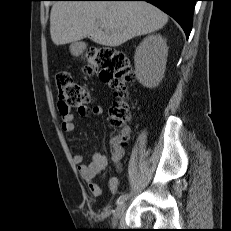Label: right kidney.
I'll return each mask as SVG.
<instances>
[{
	"instance_id": "right-kidney-1",
	"label": "right kidney",
	"mask_w": 231,
	"mask_h": 231,
	"mask_svg": "<svg viewBox=\"0 0 231 231\" xmlns=\"http://www.w3.org/2000/svg\"><path fill=\"white\" fill-rule=\"evenodd\" d=\"M168 48L161 35H150L137 47L134 62L135 74L139 82L147 88H153L162 80Z\"/></svg>"
}]
</instances>
